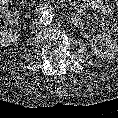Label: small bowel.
I'll return each mask as SVG.
<instances>
[{
	"instance_id": "1",
	"label": "small bowel",
	"mask_w": 118,
	"mask_h": 118,
	"mask_svg": "<svg viewBox=\"0 0 118 118\" xmlns=\"http://www.w3.org/2000/svg\"><path fill=\"white\" fill-rule=\"evenodd\" d=\"M89 6L93 10L100 12L102 14H112L114 12L113 8L109 4H107L105 0H90ZM114 34L118 38V27Z\"/></svg>"
}]
</instances>
